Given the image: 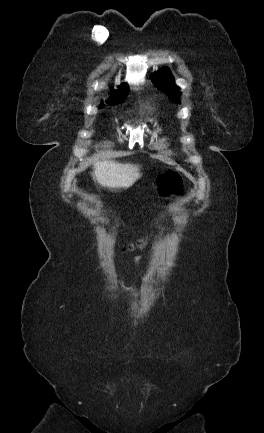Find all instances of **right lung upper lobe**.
I'll return each instance as SVG.
<instances>
[{
    "label": "right lung upper lobe",
    "instance_id": "obj_1",
    "mask_svg": "<svg viewBox=\"0 0 264 433\" xmlns=\"http://www.w3.org/2000/svg\"><path fill=\"white\" fill-rule=\"evenodd\" d=\"M112 93L114 95V98L112 99V101L123 99L126 96V94L128 93V85L122 84L119 86L118 91H115V92L113 91Z\"/></svg>",
    "mask_w": 264,
    "mask_h": 433
}]
</instances>
